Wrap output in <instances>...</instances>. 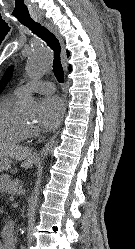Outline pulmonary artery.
<instances>
[{
  "instance_id": "pulmonary-artery-1",
  "label": "pulmonary artery",
  "mask_w": 135,
  "mask_h": 249,
  "mask_svg": "<svg viewBox=\"0 0 135 249\" xmlns=\"http://www.w3.org/2000/svg\"><path fill=\"white\" fill-rule=\"evenodd\" d=\"M54 91L55 85L52 82H32L17 87L14 93L22 97L29 93L50 94Z\"/></svg>"
}]
</instances>
